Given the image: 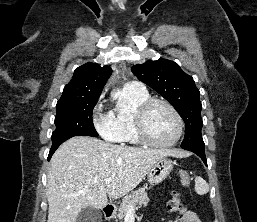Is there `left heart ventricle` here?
I'll return each mask as SVG.
<instances>
[{
	"mask_svg": "<svg viewBox=\"0 0 257 222\" xmlns=\"http://www.w3.org/2000/svg\"><path fill=\"white\" fill-rule=\"evenodd\" d=\"M147 131L154 141H171L177 133L176 119L167 107L156 105L148 114Z\"/></svg>",
	"mask_w": 257,
	"mask_h": 222,
	"instance_id": "b2bd125f",
	"label": "left heart ventricle"
}]
</instances>
